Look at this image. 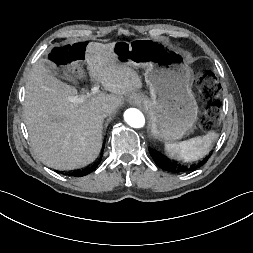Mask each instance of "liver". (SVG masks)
I'll use <instances>...</instances> for the list:
<instances>
[{
    "label": "liver",
    "instance_id": "1",
    "mask_svg": "<svg viewBox=\"0 0 253 253\" xmlns=\"http://www.w3.org/2000/svg\"><path fill=\"white\" fill-rule=\"evenodd\" d=\"M115 43L90 42L85 62L93 81L101 83L111 94L98 93L84 102H74L78 91L53 75L39 60L31 70L24 102V121L38 159L48 167L72 170L93 162L102 147V130L106 114L104 104L116 108L124 95L142 88V80L132 66L120 62L113 54ZM76 67V64H75ZM78 74L84 78L83 71Z\"/></svg>",
    "mask_w": 253,
    "mask_h": 253
}]
</instances>
